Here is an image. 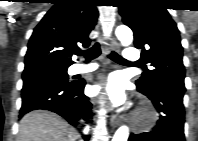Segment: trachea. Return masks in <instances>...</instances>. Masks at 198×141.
<instances>
[{"label":"trachea","mask_w":198,"mask_h":141,"mask_svg":"<svg viewBox=\"0 0 198 141\" xmlns=\"http://www.w3.org/2000/svg\"><path fill=\"white\" fill-rule=\"evenodd\" d=\"M101 53V49H100V44L97 42L95 43L91 48H89L88 50H78L76 52L77 55H83L86 58V61L89 62L95 58H97ZM108 57L118 63H129V61H127L126 59H124L123 57H121L120 55H118L115 52H111Z\"/></svg>","instance_id":"1"}]
</instances>
